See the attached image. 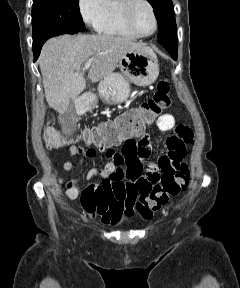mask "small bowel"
I'll list each match as a JSON object with an SVG mask.
<instances>
[{
	"mask_svg": "<svg viewBox=\"0 0 240 288\" xmlns=\"http://www.w3.org/2000/svg\"><path fill=\"white\" fill-rule=\"evenodd\" d=\"M156 126L164 132L173 131L165 142L166 153L159 156L156 163L144 167L152 146L143 131L113 141L96 142L95 146L110 161L102 169L90 168L86 178L102 177L103 181L81 191L78 181L73 178L74 188L67 192V197L75 200L80 196V204L86 213L92 217L99 216L105 224L113 225L123 216H132L139 196L149 193L164 174L174 173L185 157L186 145L194 141L193 131L188 126L177 124L171 114L159 116ZM119 145H122L121 152L115 150ZM69 154L91 158L96 155V150L71 145ZM63 169L72 171L74 164L67 160Z\"/></svg>",
	"mask_w": 240,
	"mask_h": 288,
	"instance_id": "c3829d8e",
	"label": "small bowel"
}]
</instances>
